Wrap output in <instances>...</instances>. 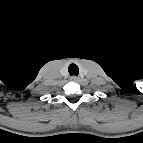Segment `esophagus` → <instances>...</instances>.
I'll list each match as a JSON object with an SVG mask.
<instances>
[{"label":"esophagus","mask_w":143,"mask_h":143,"mask_svg":"<svg viewBox=\"0 0 143 143\" xmlns=\"http://www.w3.org/2000/svg\"><path fill=\"white\" fill-rule=\"evenodd\" d=\"M70 79H71L72 81L77 82V81L79 80V77H77V76H72Z\"/></svg>","instance_id":"34e87169"}]
</instances>
